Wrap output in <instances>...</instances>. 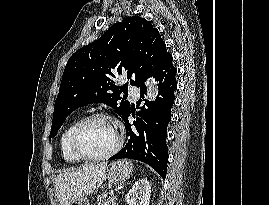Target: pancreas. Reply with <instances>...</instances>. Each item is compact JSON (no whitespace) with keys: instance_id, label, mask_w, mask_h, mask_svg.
Instances as JSON below:
<instances>
[{"instance_id":"1","label":"pancreas","mask_w":269,"mask_h":205,"mask_svg":"<svg viewBox=\"0 0 269 205\" xmlns=\"http://www.w3.org/2000/svg\"><path fill=\"white\" fill-rule=\"evenodd\" d=\"M98 205H117L114 197H109L98 203Z\"/></svg>"}]
</instances>
